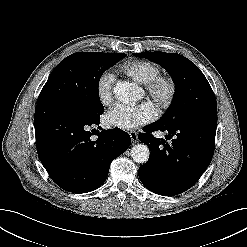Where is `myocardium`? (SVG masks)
I'll list each match as a JSON object with an SVG mask.
<instances>
[{
	"mask_svg": "<svg viewBox=\"0 0 247 247\" xmlns=\"http://www.w3.org/2000/svg\"><path fill=\"white\" fill-rule=\"evenodd\" d=\"M178 92L176 80L171 76H158L145 84V93L160 111L168 109Z\"/></svg>",
	"mask_w": 247,
	"mask_h": 247,
	"instance_id": "1",
	"label": "myocardium"
}]
</instances>
